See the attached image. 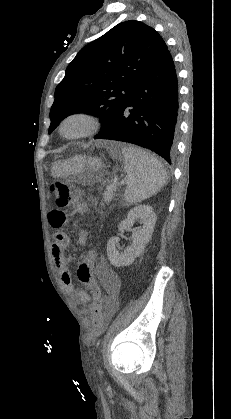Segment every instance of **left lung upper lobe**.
I'll return each mask as SVG.
<instances>
[{"label": "left lung upper lobe", "instance_id": "left-lung-upper-lobe-1", "mask_svg": "<svg viewBox=\"0 0 231 419\" xmlns=\"http://www.w3.org/2000/svg\"><path fill=\"white\" fill-rule=\"evenodd\" d=\"M168 52L162 37L142 22L119 23L83 47L57 85L49 134L67 116L99 115L107 128L139 79Z\"/></svg>", "mask_w": 231, "mask_h": 419}]
</instances>
